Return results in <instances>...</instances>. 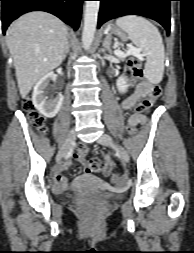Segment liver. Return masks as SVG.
<instances>
[{"mask_svg": "<svg viewBox=\"0 0 194 253\" xmlns=\"http://www.w3.org/2000/svg\"><path fill=\"white\" fill-rule=\"evenodd\" d=\"M67 35V26L59 18L42 11L27 13L10 25L6 43L22 98L62 63Z\"/></svg>", "mask_w": 194, "mask_h": 253, "instance_id": "1", "label": "liver"}]
</instances>
